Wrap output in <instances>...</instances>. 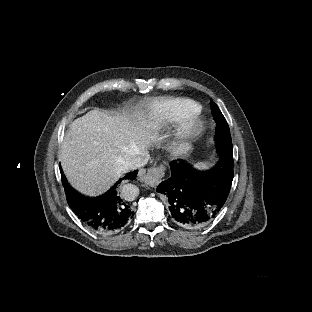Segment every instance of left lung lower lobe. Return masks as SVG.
<instances>
[{
    "label": "left lung lower lobe",
    "mask_w": 312,
    "mask_h": 312,
    "mask_svg": "<svg viewBox=\"0 0 312 312\" xmlns=\"http://www.w3.org/2000/svg\"><path fill=\"white\" fill-rule=\"evenodd\" d=\"M218 161L208 170L184 161L170 163L171 177L157 187L168 199L169 218L177 226L200 229L223 207L233 180V150L217 149Z\"/></svg>",
    "instance_id": "0a47b994"
}]
</instances>
